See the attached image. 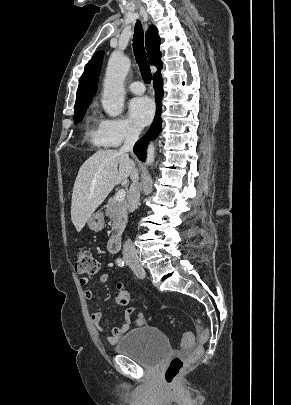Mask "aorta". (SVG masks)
<instances>
[{"mask_svg":"<svg viewBox=\"0 0 291 405\" xmlns=\"http://www.w3.org/2000/svg\"><path fill=\"white\" fill-rule=\"evenodd\" d=\"M130 59L125 55L112 54L107 65L103 84L102 106L105 112L116 117L123 111L124 106V80L130 69ZM155 158V147L151 143L147 149L146 164L151 165Z\"/></svg>","mask_w":291,"mask_h":405,"instance_id":"762f6f07","label":"aorta"}]
</instances>
